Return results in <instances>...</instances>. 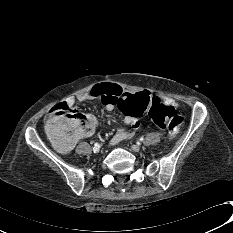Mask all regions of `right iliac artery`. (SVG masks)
I'll list each match as a JSON object with an SVG mask.
<instances>
[{
    "mask_svg": "<svg viewBox=\"0 0 233 233\" xmlns=\"http://www.w3.org/2000/svg\"><path fill=\"white\" fill-rule=\"evenodd\" d=\"M96 147L99 148V144L98 143H95L94 148H96Z\"/></svg>",
    "mask_w": 233,
    "mask_h": 233,
    "instance_id": "right-iliac-artery-1",
    "label": "right iliac artery"
}]
</instances>
